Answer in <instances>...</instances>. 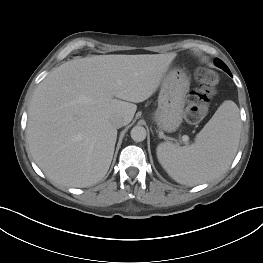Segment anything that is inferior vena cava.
Returning <instances> with one entry per match:
<instances>
[{"label":"inferior vena cava","mask_w":263,"mask_h":263,"mask_svg":"<svg viewBox=\"0 0 263 263\" xmlns=\"http://www.w3.org/2000/svg\"><path fill=\"white\" fill-rule=\"evenodd\" d=\"M112 124L116 127V128H120L124 125V120L122 117L120 116H116L112 119Z\"/></svg>","instance_id":"1"}]
</instances>
